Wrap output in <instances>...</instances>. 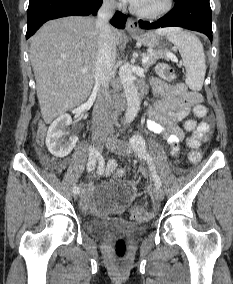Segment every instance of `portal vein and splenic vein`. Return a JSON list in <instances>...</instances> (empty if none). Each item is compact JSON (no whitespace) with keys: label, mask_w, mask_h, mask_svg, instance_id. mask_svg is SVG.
Returning a JSON list of instances; mask_svg holds the SVG:
<instances>
[{"label":"portal vein and splenic vein","mask_w":233,"mask_h":284,"mask_svg":"<svg viewBox=\"0 0 233 284\" xmlns=\"http://www.w3.org/2000/svg\"><path fill=\"white\" fill-rule=\"evenodd\" d=\"M167 57L168 58L170 57L171 59H173V55H169V56L167 55ZM148 60H149V58L145 55V56H143L142 63H146ZM86 72H87L86 69H82V73H86Z\"/></svg>","instance_id":"1"}]
</instances>
